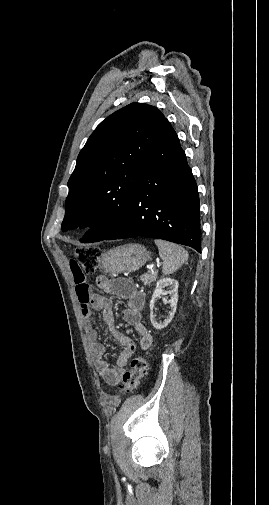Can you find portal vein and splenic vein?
<instances>
[{
    "mask_svg": "<svg viewBox=\"0 0 269 505\" xmlns=\"http://www.w3.org/2000/svg\"><path fill=\"white\" fill-rule=\"evenodd\" d=\"M157 267H160V264H158V265H157ZM155 269H156V268H155V266H153V267L151 268V270H152V271H153V270H155Z\"/></svg>",
    "mask_w": 269,
    "mask_h": 505,
    "instance_id": "1",
    "label": "portal vein and splenic vein"
}]
</instances>
